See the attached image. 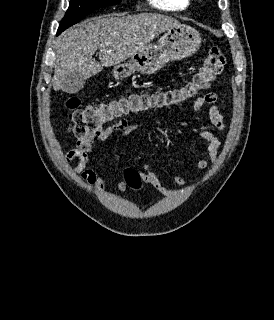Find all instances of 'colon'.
I'll list each match as a JSON object with an SVG mask.
<instances>
[{
	"instance_id": "1",
	"label": "colon",
	"mask_w": 274,
	"mask_h": 320,
	"mask_svg": "<svg viewBox=\"0 0 274 320\" xmlns=\"http://www.w3.org/2000/svg\"><path fill=\"white\" fill-rule=\"evenodd\" d=\"M226 66V58L219 47H211L204 63L196 75L184 86L150 99L142 96H122L108 103L80 107V100L70 97L66 100L69 110V134H86V137L101 133V127H119L123 117L138 110L157 105L169 106L184 103L208 89ZM126 183L138 189L142 185L136 169L129 168L124 173Z\"/></svg>"
}]
</instances>
